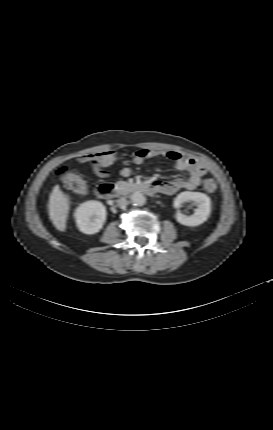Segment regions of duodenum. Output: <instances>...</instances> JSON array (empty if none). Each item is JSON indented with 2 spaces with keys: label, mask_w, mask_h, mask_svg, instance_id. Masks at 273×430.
<instances>
[{
  "label": "duodenum",
  "mask_w": 273,
  "mask_h": 430,
  "mask_svg": "<svg viewBox=\"0 0 273 430\" xmlns=\"http://www.w3.org/2000/svg\"><path fill=\"white\" fill-rule=\"evenodd\" d=\"M133 190L144 192L147 194H154L157 192L154 184H136ZM115 192V187L111 183H101L96 187V195L101 199H109Z\"/></svg>",
  "instance_id": "obj_1"
}]
</instances>
